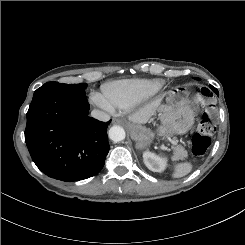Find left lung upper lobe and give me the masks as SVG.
<instances>
[{
	"label": "left lung upper lobe",
	"instance_id": "left-lung-upper-lobe-1",
	"mask_svg": "<svg viewBox=\"0 0 245 245\" xmlns=\"http://www.w3.org/2000/svg\"><path fill=\"white\" fill-rule=\"evenodd\" d=\"M195 79L199 80V78H195ZM211 88H212V90H214V92H215V88H213L212 86H211Z\"/></svg>",
	"mask_w": 245,
	"mask_h": 245
}]
</instances>
